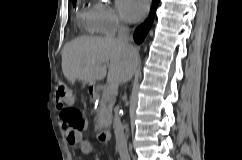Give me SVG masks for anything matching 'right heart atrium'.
<instances>
[{
	"label": "right heart atrium",
	"instance_id": "right-heart-atrium-1",
	"mask_svg": "<svg viewBox=\"0 0 242 160\" xmlns=\"http://www.w3.org/2000/svg\"><path fill=\"white\" fill-rule=\"evenodd\" d=\"M92 12L98 33L111 35L123 25L114 9L107 3L96 2Z\"/></svg>",
	"mask_w": 242,
	"mask_h": 160
}]
</instances>
